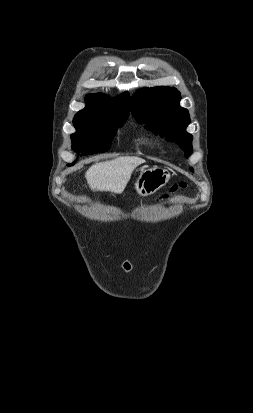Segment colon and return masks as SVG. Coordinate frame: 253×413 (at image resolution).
<instances>
[{
  "instance_id": "colon-1",
  "label": "colon",
  "mask_w": 253,
  "mask_h": 413,
  "mask_svg": "<svg viewBox=\"0 0 253 413\" xmlns=\"http://www.w3.org/2000/svg\"><path fill=\"white\" fill-rule=\"evenodd\" d=\"M188 186H189V185H188V183H186V182H180V183H178V184L173 185V186L170 188V190H169L168 193L163 194V195L159 198V201H160V202L166 201L171 195H173V194H175V193H177V192H179V191H181V190L186 189Z\"/></svg>"
}]
</instances>
